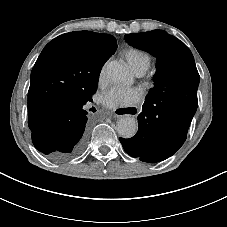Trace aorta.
Segmentation results:
<instances>
[{"label": "aorta", "instance_id": "762f6f07", "mask_svg": "<svg viewBox=\"0 0 227 227\" xmlns=\"http://www.w3.org/2000/svg\"><path fill=\"white\" fill-rule=\"evenodd\" d=\"M106 74L114 83H127L132 80L127 66L119 61H111L107 64ZM138 130V123L131 116L122 117L117 121L118 134L123 138L133 137Z\"/></svg>", "mask_w": 227, "mask_h": 227}]
</instances>
